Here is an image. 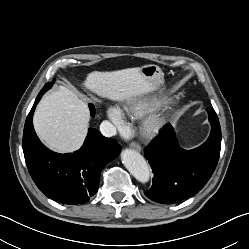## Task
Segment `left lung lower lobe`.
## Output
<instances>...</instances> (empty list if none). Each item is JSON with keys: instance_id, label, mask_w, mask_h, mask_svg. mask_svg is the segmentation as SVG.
<instances>
[{"instance_id": "1", "label": "left lung lower lobe", "mask_w": 249, "mask_h": 249, "mask_svg": "<svg viewBox=\"0 0 249 249\" xmlns=\"http://www.w3.org/2000/svg\"><path fill=\"white\" fill-rule=\"evenodd\" d=\"M207 111L212 129L200 147L180 148L172 126L167 124L159 140L144 150L154 173L152 188L144 192L151 200L170 203L188 198L212 176L220 156L221 128L214 109Z\"/></svg>"}]
</instances>
